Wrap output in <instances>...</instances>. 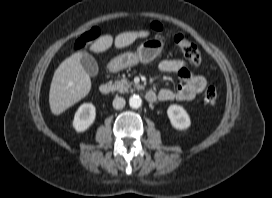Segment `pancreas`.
<instances>
[{
	"label": "pancreas",
	"instance_id": "cf45deb5",
	"mask_svg": "<svg viewBox=\"0 0 272 198\" xmlns=\"http://www.w3.org/2000/svg\"><path fill=\"white\" fill-rule=\"evenodd\" d=\"M133 85L134 84L132 82L128 81L125 78L115 81V83H114L115 90L119 91L120 93L128 92ZM135 87L137 89L141 88L140 85H135Z\"/></svg>",
	"mask_w": 272,
	"mask_h": 198
}]
</instances>
